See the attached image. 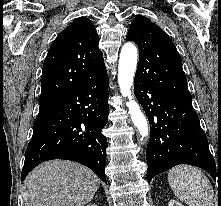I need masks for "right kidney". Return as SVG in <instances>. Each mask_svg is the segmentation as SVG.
<instances>
[{"instance_id":"obj_1","label":"right kidney","mask_w":221,"mask_h":206,"mask_svg":"<svg viewBox=\"0 0 221 206\" xmlns=\"http://www.w3.org/2000/svg\"><path fill=\"white\" fill-rule=\"evenodd\" d=\"M87 206H97L96 204H89V205H87Z\"/></svg>"}]
</instances>
